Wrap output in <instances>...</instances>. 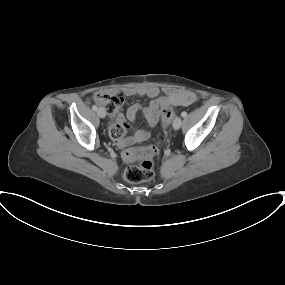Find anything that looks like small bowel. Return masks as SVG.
<instances>
[{
    "label": "small bowel",
    "instance_id": "1",
    "mask_svg": "<svg viewBox=\"0 0 285 285\" xmlns=\"http://www.w3.org/2000/svg\"><path fill=\"white\" fill-rule=\"evenodd\" d=\"M126 96H146L151 99L150 103L141 107L139 104H132L127 108L126 119L130 122L135 121L139 111H142L147 123L150 126H155L160 118L161 113L175 106H186L197 101V96L190 91H182L178 89L169 88L164 95H160V89L156 86H146L142 88H127L124 90ZM115 117V123L110 126V131L116 127H122L126 129L125 118L122 114L113 115ZM150 137V133L146 130H136L133 136L120 139V146H129L137 142L146 141Z\"/></svg>",
    "mask_w": 285,
    "mask_h": 285
}]
</instances>
